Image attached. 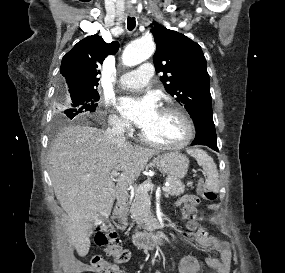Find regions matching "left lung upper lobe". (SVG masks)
I'll return each mask as SVG.
<instances>
[{"label":"left lung upper lobe","instance_id":"1","mask_svg":"<svg viewBox=\"0 0 285 273\" xmlns=\"http://www.w3.org/2000/svg\"><path fill=\"white\" fill-rule=\"evenodd\" d=\"M157 45L153 62L166 91L191 114L212 113L210 79L206 59L198 43L153 22Z\"/></svg>","mask_w":285,"mask_h":273}]
</instances>
